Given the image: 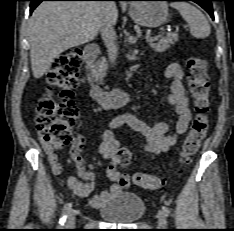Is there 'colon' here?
<instances>
[{"mask_svg":"<svg viewBox=\"0 0 234 231\" xmlns=\"http://www.w3.org/2000/svg\"><path fill=\"white\" fill-rule=\"evenodd\" d=\"M82 54L78 47L63 52L52 62L47 72L48 84L57 89L58 93L50 91L40 99L36 122L44 141L55 149H61L70 143L71 128L78 119L79 111L72 97L79 83ZM187 66L189 70L187 80L196 116L180 151V159L185 163L198 151L207 135L210 124L208 113L211 106L205 61L193 57L188 60ZM132 158L129 149H119L118 161L122 167H127ZM132 182L146 189H157L162 185L159 176L140 172L132 175Z\"/></svg>","mask_w":234,"mask_h":231,"instance_id":"obj_1","label":"colon"}]
</instances>
